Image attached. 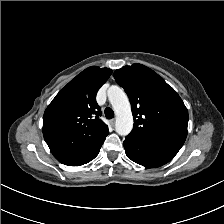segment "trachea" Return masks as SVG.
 <instances>
[{
	"label": "trachea",
	"mask_w": 224,
	"mask_h": 224,
	"mask_svg": "<svg viewBox=\"0 0 224 224\" xmlns=\"http://www.w3.org/2000/svg\"><path fill=\"white\" fill-rule=\"evenodd\" d=\"M104 113L107 119H112L114 117V112L111 108H106Z\"/></svg>",
	"instance_id": "obj_1"
}]
</instances>
